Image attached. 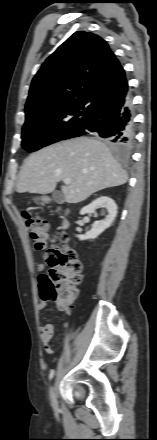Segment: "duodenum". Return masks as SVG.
Here are the masks:
<instances>
[{"label":"duodenum","instance_id":"1","mask_svg":"<svg viewBox=\"0 0 157 440\" xmlns=\"http://www.w3.org/2000/svg\"><path fill=\"white\" fill-rule=\"evenodd\" d=\"M62 229H67L68 228V221L65 219L63 220L62 224H61Z\"/></svg>","mask_w":157,"mask_h":440}]
</instances>
